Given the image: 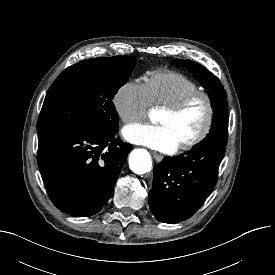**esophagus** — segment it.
I'll use <instances>...</instances> for the list:
<instances>
[{"mask_svg":"<svg viewBox=\"0 0 275 275\" xmlns=\"http://www.w3.org/2000/svg\"><path fill=\"white\" fill-rule=\"evenodd\" d=\"M152 155L157 162H161L163 160V156L156 152H153Z\"/></svg>","mask_w":275,"mask_h":275,"instance_id":"obj_1","label":"esophagus"}]
</instances>
